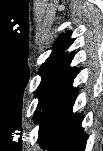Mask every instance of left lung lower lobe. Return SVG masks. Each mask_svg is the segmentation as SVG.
<instances>
[{
  "mask_svg": "<svg viewBox=\"0 0 103 151\" xmlns=\"http://www.w3.org/2000/svg\"><path fill=\"white\" fill-rule=\"evenodd\" d=\"M72 52L65 51L39 72L38 105L33 114L38 140L49 151H85L87 135L82 127L84 114L74 111L79 71L71 67Z\"/></svg>",
  "mask_w": 103,
  "mask_h": 151,
  "instance_id": "1",
  "label": "left lung lower lobe"
}]
</instances>
